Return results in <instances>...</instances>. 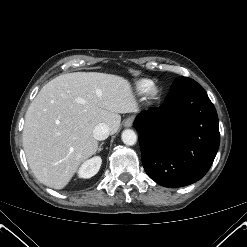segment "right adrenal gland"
<instances>
[{"mask_svg": "<svg viewBox=\"0 0 247 247\" xmlns=\"http://www.w3.org/2000/svg\"><path fill=\"white\" fill-rule=\"evenodd\" d=\"M104 144V142H102L100 145H99V147H98V149H97V151H98V153L100 152V151H102V145Z\"/></svg>", "mask_w": 247, "mask_h": 247, "instance_id": "right-adrenal-gland-1", "label": "right adrenal gland"}]
</instances>
